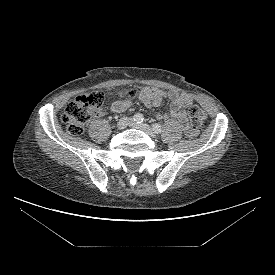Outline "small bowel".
I'll list each match as a JSON object with an SVG mask.
<instances>
[{
  "instance_id": "c3829d8e",
  "label": "small bowel",
  "mask_w": 275,
  "mask_h": 275,
  "mask_svg": "<svg viewBox=\"0 0 275 275\" xmlns=\"http://www.w3.org/2000/svg\"><path fill=\"white\" fill-rule=\"evenodd\" d=\"M138 98L147 107L159 106L164 101H170V114L180 124L185 136L193 138L197 135L196 129L188 123L185 108L192 103V98L186 93H179L175 90L165 91L156 87L142 88L138 94ZM130 99H118L111 103L110 111L113 113H122L131 105ZM160 118L167 119L168 115H160Z\"/></svg>"
}]
</instances>
